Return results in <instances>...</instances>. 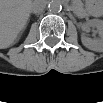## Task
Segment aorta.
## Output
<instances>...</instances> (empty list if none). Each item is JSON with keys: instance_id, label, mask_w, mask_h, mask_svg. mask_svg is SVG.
Returning <instances> with one entry per match:
<instances>
[{"instance_id": "1", "label": "aorta", "mask_w": 103, "mask_h": 103, "mask_svg": "<svg viewBox=\"0 0 103 103\" xmlns=\"http://www.w3.org/2000/svg\"><path fill=\"white\" fill-rule=\"evenodd\" d=\"M49 11L56 13L60 12L62 9L61 2L59 0H52L48 4Z\"/></svg>"}]
</instances>
